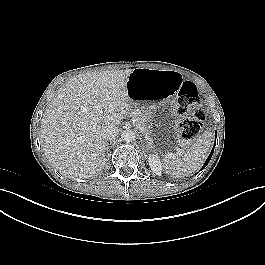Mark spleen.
I'll use <instances>...</instances> for the list:
<instances>
[{"mask_svg":"<svg viewBox=\"0 0 265 265\" xmlns=\"http://www.w3.org/2000/svg\"><path fill=\"white\" fill-rule=\"evenodd\" d=\"M212 143V133L204 132L191 147L177 154H167L163 157V167L175 178L187 176L200 168Z\"/></svg>","mask_w":265,"mask_h":265,"instance_id":"spleen-1","label":"spleen"}]
</instances>
